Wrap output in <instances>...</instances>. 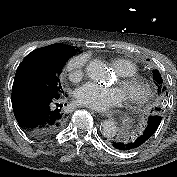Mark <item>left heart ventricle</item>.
<instances>
[{
  "label": "left heart ventricle",
  "mask_w": 177,
  "mask_h": 177,
  "mask_svg": "<svg viewBox=\"0 0 177 177\" xmlns=\"http://www.w3.org/2000/svg\"><path fill=\"white\" fill-rule=\"evenodd\" d=\"M118 85H119L120 89L123 91L124 95H126V92H127L126 89L120 85V82L118 83Z\"/></svg>",
  "instance_id": "1"
}]
</instances>
